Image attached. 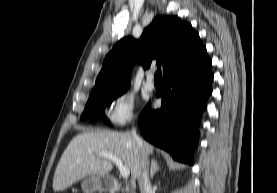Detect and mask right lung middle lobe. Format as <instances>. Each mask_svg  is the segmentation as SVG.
<instances>
[{
	"label": "right lung middle lobe",
	"instance_id": "1",
	"mask_svg": "<svg viewBox=\"0 0 277 193\" xmlns=\"http://www.w3.org/2000/svg\"><path fill=\"white\" fill-rule=\"evenodd\" d=\"M127 90H116V91H103L94 94H90V97L85 106L84 112L81 115V119H88L96 117L103 113L105 107L109 105L115 98L125 93Z\"/></svg>",
	"mask_w": 277,
	"mask_h": 193
}]
</instances>
